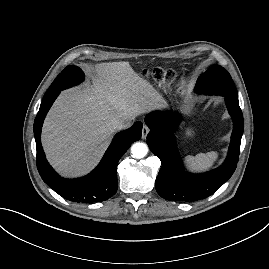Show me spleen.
<instances>
[{"label": "spleen", "mask_w": 269, "mask_h": 269, "mask_svg": "<svg viewBox=\"0 0 269 269\" xmlns=\"http://www.w3.org/2000/svg\"><path fill=\"white\" fill-rule=\"evenodd\" d=\"M217 159L218 153L210 151L207 153H199L196 156H186L184 161L190 170L200 172L211 168Z\"/></svg>", "instance_id": "spleen-1"}]
</instances>
